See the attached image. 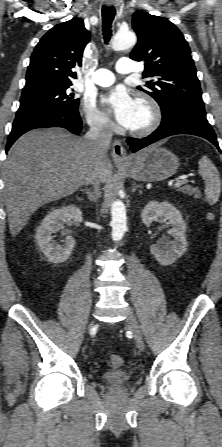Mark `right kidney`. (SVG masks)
<instances>
[{
  "instance_id": "right-kidney-1",
  "label": "right kidney",
  "mask_w": 222,
  "mask_h": 447,
  "mask_svg": "<svg viewBox=\"0 0 222 447\" xmlns=\"http://www.w3.org/2000/svg\"><path fill=\"white\" fill-rule=\"evenodd\" d=\"M67 220H73L76 226L83 221L81 210L73 205L59 209L51 210L42 220L40 226L36 230V241L46 258L55 264L65 262L75 245V240L71 236H67L64 245H59L53 240L52 233H56L63 228Z\"/></svg>"
}]
</instances>
